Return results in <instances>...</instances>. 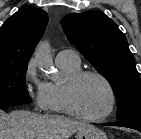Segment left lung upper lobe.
<instances>
[{
	"label": "left lung upper lobe",
	"instance_id": "obj_1",
	"mask_svg": "<svg viewBox=\"0 0 141 139\" xmlns=\"http://www.w3.org/2000/svg\"><path fill=\"white\" fill-rule=\"evenodd\" d=\"M68 40L102 74L117 100V119H141V82L125 35L104 13L86 11L61 20Z\"/></svg>",
	"mask_w": 141,
	"mask_h": 139
}]
</instances>
